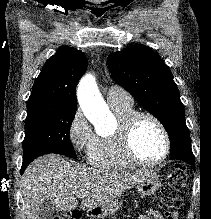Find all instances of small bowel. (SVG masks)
I'll list each match as a JSON object with an SVG mask.
<instances>
[{"mask_svg": "<svg viewBox=\"0 0 211 219\" xmlns=\"http://www.w3.org/2000/svg\"><path fill=\"white\" fill-rule=\"evenodd\" d=\"M138 219H177V214L175 212H170L166 214V216H163L160 212L150 209L141 214Z\"/></svg>", "mask_w": 211, "mask_h": 219, "instance_id": "obj_1", "label": "small bowel"}]
</instances>
